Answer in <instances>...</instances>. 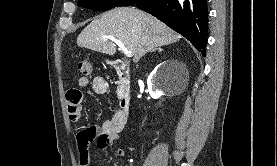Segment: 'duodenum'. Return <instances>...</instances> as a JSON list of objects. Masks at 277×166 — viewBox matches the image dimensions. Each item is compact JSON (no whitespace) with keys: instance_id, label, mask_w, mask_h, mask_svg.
Returning a JSON list of instances; mask_svg holds the SVG:
<instances>
[{"instance_id":"410a0bca","label":"duodenum","mask_w":277,"mask_h":166,"mask_svg":"<svg viewBox=\"0 0 277 166\" xmlns=\"http://www.w3.org/2000/svg\"><path fill=\"white\" fill-rule=\"evenodd\" d=\"M113 68L121 84L118 113L121 120L127 122L131 106L129 68L124 62L118 59L113 61Z\"/></svg>"}]
</instances>
